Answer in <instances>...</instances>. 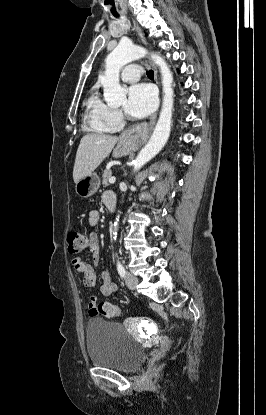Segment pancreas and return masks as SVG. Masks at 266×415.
Returning a JSON list of instances; mask_svg holds the SVG:
<instances>
[{
    "instance_id": "pancreas-1",
    "label": "pancreas",
    "mask_w": 266,
    "mask_h": 415,
    "mask_svg": "<svg viewBox=\"0 0 266 415\" xmlns=\"http://www.w3.org/2000/svg\"><path fill=\"white\" fill-rule=\"evenodd\" d=\"M112 171L110 169H106L102 175V183L103 185L107 186L109 179L111 178Z\"/></svg>"
}]
</instances>
